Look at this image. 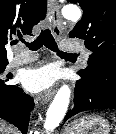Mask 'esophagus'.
<instances>
[{"label":"esophagus","instance_id":"esophagus-1","mask_svg":"<svg viewBox=\"0 0 116 134\" xmlns=\"http://www.w3.org/2000/svg\"><path fill=\"white\" fill-rule=\"evenodd\" d=\"M48 8H49L50 18L52 22V27H53V33L57 36H60L62 34V26H61L62 18L59 12V8L53 0H49ZM54 93H55L54 89L45 92L41 98L40 103L43 104L47 103L53 97Z\"/></svg>","mask_w":116,"mask_h":134}]
</instances>
